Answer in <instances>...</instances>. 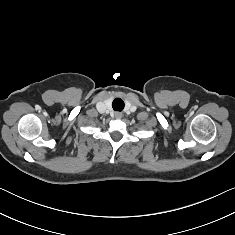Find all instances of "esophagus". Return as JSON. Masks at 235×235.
<instances>
[{"label": "esophagus", "mask_w": 235, "mask_h": 235, "mask_svg": "<svg viewBox=\"0 0 235 235\" xmlns=\"http://www.w3.org/2000/svg\"><path fill=\"white\" fill-rule=\"evenodd\" d=\"M115 118H116V119H121V118H122V113H120V112H115Z\"/></svg>", "instance_id": "34e87169"}]
</instances>
